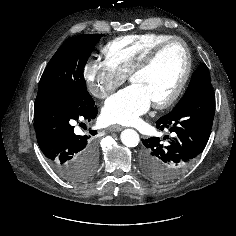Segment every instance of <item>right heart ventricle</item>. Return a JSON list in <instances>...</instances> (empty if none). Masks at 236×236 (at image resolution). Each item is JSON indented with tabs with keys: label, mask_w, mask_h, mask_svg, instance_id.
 <instances>
[{
	"label": "right heart ventricle",
	"mask_w": 236,
	"mask_h": 236,
	"mask_svg": "<svg viewBox=\"0 0 236 236\" xmlns=\"http://www.w3.org/2000/svg\"><path fill=\"white\" fill-rule=\"evenodd\" d=\"M171 37L161 33L121 36L108 42L102 51L106 60L126 76L153 47Z\"/></svg>",
	"instance_id": "1"
}]
</instances>
